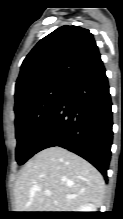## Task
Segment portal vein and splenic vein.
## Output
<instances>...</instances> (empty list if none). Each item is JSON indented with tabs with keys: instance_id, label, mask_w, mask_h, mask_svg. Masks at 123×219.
<instances>
[{
	"instance_id": "portal-vein-and-splenic-vein-1",
	"label": "portal vein and splenic vein",
	"mask_w": 123,
	"mask_h": 219,
	"mask_svg": "<svg viewBox=\"0 0 123 219\" xmlns=\"http://www.w3.org/2000/svg\"><path fill=\"white\" fill-rule=\"evenodd\" d=\"M44 193H45L46 196H50L51 195V192L49 190H46ZM66 198L70 199L72 197L71 196H67Z\"/></svg>"
}]
</instances>
